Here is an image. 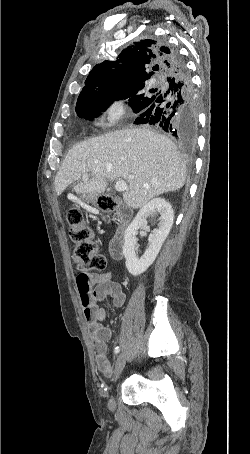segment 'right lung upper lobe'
<instances>
[{"label":"right lung upper lobe","mask_w":250,"mask_h":454,"mask_svg":"<svg viewBox=\"0 0 250 454\" xmlns=\"http://www.w3.org/2000/svg\"><path fill=\"white\" fill-rule=\"evenodd\" d=\"M169 50L161 42L145 39L134 42L115 61L105 60L90 71L77 104L99 102L135 86L151 77L164 79L170 70ZM152 69V71H150Z\"/></svg>","instance_id":"cb5924a9"}]
</instances>
